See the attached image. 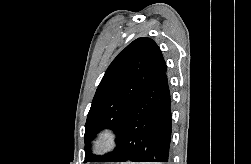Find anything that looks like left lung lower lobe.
Listing matches in <instances>:
<instances>
[{
  "label": "left lung lower lobe",
  "mask_w": 251,
  "mask_h": 164,
  "mask_svg": "<svg viewBox=\"0 0 251 164\" xmlns=\"http://www.w3.org/2000/svg\"><path fill=\"white\" fill-rule=\"evenodd\" d=\"M166 71L138 97L127 114L117 147L101 162H168L171 100Z\"/></svg>",
  "instance_id": "obj_1"
}]
</instances>
